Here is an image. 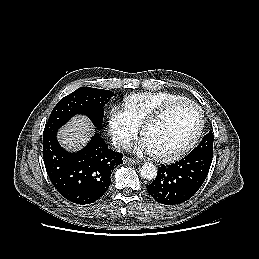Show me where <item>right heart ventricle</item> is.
Here are the masks:
<instances>
[{
	"label": "right heart ventricle",
	"instance_id": "e07e8e85",
	"mask_svg": "<svg viewBox=\"0 0 259 259\" xmlns=\"http://www.w3.org/2000/svg\"><path fill=\"white\" fill-rule=\"evenodd\" d=\"M181 99L186 98L171 92H143L125 97L124 106L133 123L140 127L149 116L161 107Z\"/></svg>",
	"mask_w": 259,
	"mask_h": 259
}]
</instances>
